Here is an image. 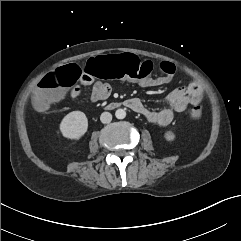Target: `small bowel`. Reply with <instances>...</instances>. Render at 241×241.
Returning <instances> with one entry per match:
<instances>
[{
    "label": "small bowel",
    "instance_id": "1",
    "mask_svg": "<svg viewBox=\"0 0 241 241\" xmlns=\"http://www.w3.org/2000/svg\"><path fill=\"white\" fill-rule=\"evenodd\" d=\"M80 84L70 90V97L78 99L82 93V86H91L90 102L97 103L106 100L111 92L112 87L107 82L93 81L92 77L84 74L78 78ZM172 76L165 75L157 78H146L140 81L145 87L160 86L169 83ZM203 99V89L199 82L193 81L186 86L179 87L171 91L164 99L166 106L160 110H151L147 108L139 98H129L126 103L133 111L144 116L149 122L166 126L170 124L175 115L184 112L188 106H198Z\"/></svg>",
    "mask_w": 241,
    "mask_h": 241
}]
</instances>
